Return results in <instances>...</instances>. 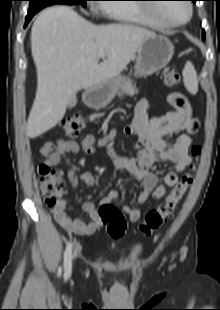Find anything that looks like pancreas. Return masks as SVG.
I'll use <instances>...</instances> for the list:
<instances>
[{
  "instance_id": "pancreas-1",
  "label": "pancreas",
  "mask_w": 220,
  "mask_h": 310,
  "mask_svg": "<svg viewBox=\"0 0 220 310\" xmlns=\"http://www.w3.org/2000/svg\"><path fill=\"white\" fill-rule=\"evenodd\" d=\"M136 93H138V90L136 89L135 85H132L131 81H127L124 85H122L119 96H122L123 94L134 95Z\"/></svg>"
}]
</instances>
